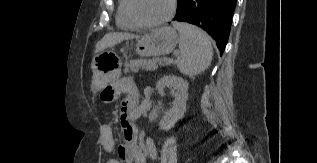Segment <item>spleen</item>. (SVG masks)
<instances>
[{"mask_svg": "<svg viewBox=\"0 0 317 163\" xmlns=\"http://www.w3.org/2000/svg\"><path fill=\"white\" fill-rule=\"evenodd\" d=\"M174 28L179 32L180 55L177 67L187 76L204 72L211 64L213 48L210 37L200 28L188 23L176 22Z\"/></svg>", "mask_w": 317, "mask_h": 163, "instance_id": "1", "label": "spleen"}]
</instances>
